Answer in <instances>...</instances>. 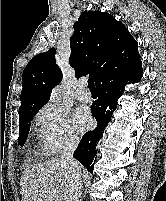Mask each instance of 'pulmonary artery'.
I'll return each instance as SVG.
<instances>
[{"label": "pulmonary artery", "mask_w": 166, "mask_h": 201, "mask_svg": "<svg viewBox=\"0 0 166 201\" xmlns=\"http://www.w3.org/2000/svg\"><path fill=\"white\" fill-rule=\"evenodd\" d=\"M77 98L82 102H90L92 100V95L87 88V84L82 82L77 90Z\"/></svg>", "instance_id": "obj_1"}]
</instances>
